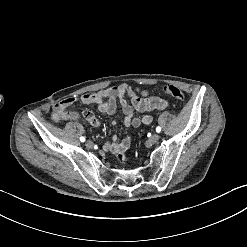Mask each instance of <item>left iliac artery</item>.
I'll list each match as a JSON object with an SVG mask.
<instances>
[{
    "label": "left iliac artery",
    "instance_id": "left-iliac-artery-1",
    "mask_svg": "<svg viewBox=\"0 0 247 247\" xmlns=\"http://www.w3.org/2000/svg\"><path fill=\"white\" fill-rule=\"evenodd\" d=\"M160 131H161V127H159V126H158V127H156V132H158V133H159Z\"/></svg>",
    "mask_w": 247,
    "mask_h": 247
}]
</instances>
